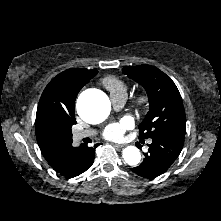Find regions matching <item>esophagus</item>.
<instances>
[{"instance_id":"34e87169","label":"esophagus","mask_w":221,"mask_h":221,"mask_svg":"<svg viewBox=\"0 0 221 221\" xmlns=\"http://www.w3.org/2000/svg\"><path fill=\"white\" fill-rule=\"evenodd\" d=\"M113 146H115V147H117V148H122V147H124L123 144H113Z\"/></svg>"}]
</instances>
